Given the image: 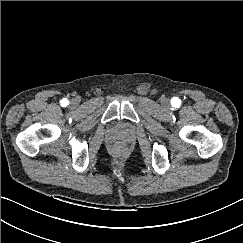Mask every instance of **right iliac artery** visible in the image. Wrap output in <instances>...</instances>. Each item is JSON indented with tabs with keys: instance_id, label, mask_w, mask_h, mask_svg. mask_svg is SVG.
<instances>
[{
	"instance_id": "1",
	"label": "right iliac artery",
	"mask_w": 243,
	"mask_h": 243,
	"mask_svg": "<svg viewBox=\"0 0 243 243\" xmlns=\"http://www.w3.org/2000/svg\"><path fill=\"white\" fill-rule=\"evenodd\" d=\"M68 103H69L68 100L63 99L62 102H61V105H62V106H67Z\"/></svg>"
}]
</instances>
